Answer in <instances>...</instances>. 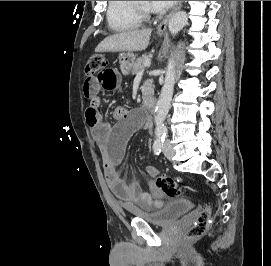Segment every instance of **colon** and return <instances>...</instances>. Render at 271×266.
Instances as JSON below:
<instances>
[{"instance_id":"colon-1","label":"colon","mask_w":271,"mask_h":266,"mask_svg":"<svg viewBox=\"0 0 271 266\" xmlns=\"http://www.w3.org/2000/svg\"><path fill=\"white\" fill-rule=\"evenodd\" d=\"M106 64L107 60L104 56L93 55L89 58L86 65V73L88 75H93ZM153 184L159 192L170 198H177L183 193V187L167 176H157L154 179ZM211 224L212 210L210 207H206L199 213L196 222L187 232V239L194 240L201 237L209 230Z\"/></svg>"}]
</instances>
